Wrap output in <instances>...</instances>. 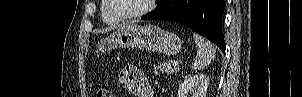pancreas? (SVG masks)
<instances>
[{
  "label": "pancreas",
  "instance_id": "cf45deb5",
  "mask_svg": "<svg viewBox=\"0 0 302 97\" xmlns=\"http://www.w3.org/2000/svg\"><path fill=\"white\" fill-rule=\"evenodd\" d=\"M153 70L156 75L159 73L173 74L178 71V68L172 66L170 61H163L155 65Z\"/></svg>",
  "mask_w": 302,
  "mask_h": 97
}]
</instances>
